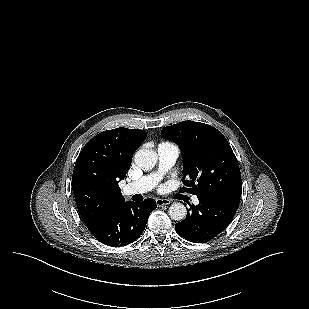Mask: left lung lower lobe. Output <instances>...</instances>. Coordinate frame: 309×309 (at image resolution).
<instances>
[{
	"instance_id": "0a47b994",
	"label": "left lung lower lobe",
	"mask_w": 309,
	"mask_h": 309,
	"mask_svg": "<svg viewBox=\"0 0 309 309\" xmlns=\"http://www.w3.org/2000/svg\"><path fill=\"white\" fill-rule=\"evenodd\" d=\"M198 205H190L186 218L175 230L186 240L195 243L210 241L232 221L240 198L224 195H197Z\"/></svg>"
}]
</instances>
